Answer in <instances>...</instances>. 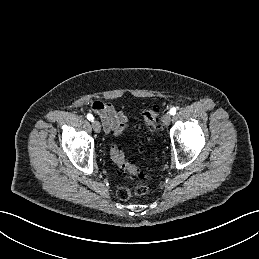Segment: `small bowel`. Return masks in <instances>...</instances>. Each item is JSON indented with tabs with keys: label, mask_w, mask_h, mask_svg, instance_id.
Here are the masks:
<instances>
[{
	"label": "small bowel",
	"mask_w": 259,
	"mask_h": 259,
	"mask_svg": "<svg viewBox=\"0 0 259 259\" xmlns=\"http://www.w3.org/2000/svg\"><path fill=\"white\" fill-rule=\"evenodd\" d=\"M90 107L100 117L106 133L119 136L128 128V117L124 112L118 111L111 103L92 101Z\"/></svg>",
	"instance_id": "obj_1"
}]
</instances>
